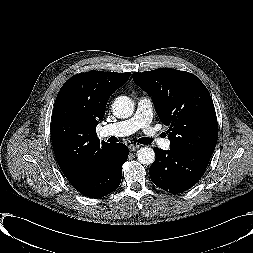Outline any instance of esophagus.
Here are the masks:
<instances>
[{
  "label": "esophagus",
  "instance_id": "34e87169",
  "mask_svg": "<svg viewBox=\"0 0 253 253\" xmlns=\"http://www.w3.org/2000/svg\"><path fill=\"white\" fill-rule=\"evenodd\" d=\"M128 148H129V150H130L131 152H133V151H136L137 149H139V148H140V145H137V144H130V145L128 146Z\"/></svg>",
  "mask_w": 253,
  "mask_h": 253
}]
</instances>
